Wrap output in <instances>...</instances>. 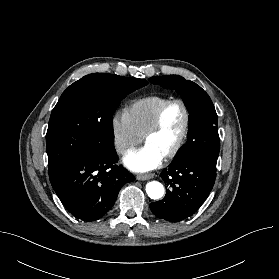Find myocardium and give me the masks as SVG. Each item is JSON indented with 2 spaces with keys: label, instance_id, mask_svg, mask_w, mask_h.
<instances>
[{
  "label": "myocardium",
  "instance_id": "obj_1",
  "mask_svg": "<svg viewBox=\"0 0 279 279\" xmlns=\"http://www.w3.org/2000/svg\"><path fill=\"white\" fill-rule=\"evenodd\" d=\"M173 104H179L184 112V125H183V129L181 132V135L177 141V143L175 144V146L164 156L165 159H171L173 157H175L179 151L182 149L183 145L186 142L187 136H188V132H189V128H190V121H191V116H190V111L188 108V105L186 104V102L183 99L180 98H173V99H169L167 100L165 103H163L159 109L157 110L155 117L152 121V123L150 124V126L147 128V130L144 132L143 134V140L146 143L147 139L154 134L155 132H157L162 124V119L163 116L166 112V110Z\"/></svg>",
  "mask_w": 279,
  "mask_h": 279
}]
</instances>
